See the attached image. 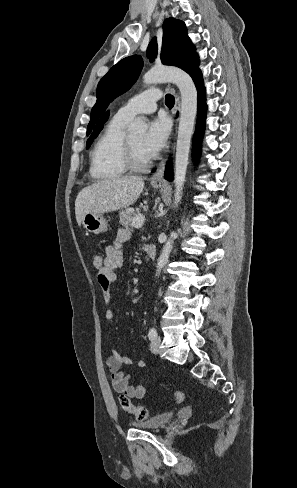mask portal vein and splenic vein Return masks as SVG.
I'll return each instance as SVG.
<instances>
[{
  "instance_id": "1",
  "label": "portal vein and splenic vein",
  "mask_w": 297,
  "mask_h": 488,
  "mask_svg": "<svg viewBox=\"0 0 297 488\" xmlns=\"http://www.w3.org/2000/svg\"><path fill=\"white\" fill-rule=\"evenodd\" d=\"M130 211H132L133 209H129ZM144 221H145V217L143 214H139L137 215L134 220H133V224L136 228H140L142 227V225L144 224Z\"/></svg>"
}]
</instances>
